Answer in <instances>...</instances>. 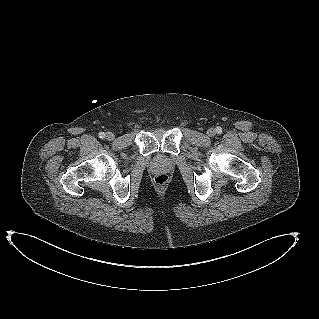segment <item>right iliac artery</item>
Returning <instances> with one entry per match:
<instances>
[{
    "instance_id": "right-iliac-artery-1",
    "label": "right iliac artery",
    "mask_w": 319,
    "mask_h": 319,
    "mask_svg": "<svg viewBox=\"0 0 319 319\" xmlns=\"http://www.w3.org/2000/svg\"><path fill=\"white\" fill-rule=\"evenodd\" d=\"M99 137H100L101 139H103V138L105 137V133H104V132H100V133H99Z\"/></svg>"
}]
</instances>
